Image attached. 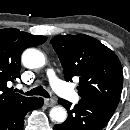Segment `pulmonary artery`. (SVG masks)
Listing matches in <instances>:
<instances>
[{
	"mask_svg": "<svg viewBox=\"0 0 130 130\" xmlns=\"http://www.w3.org/2000/svg\"><path fill=\"white\" fill-rule=\"evenodd\" d=\"M47 77L56 93L72 102H76L79 100V95L74 90L69 88L65 82L60 80L53 70H47Z\"/></svg>",
	"mask_w": 130,
	"mask_h": 130,
	"instance_id": "pulmonary-artery-1",
	"label": "pulmonary artery"
}]
</instances>
